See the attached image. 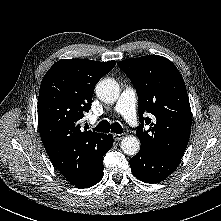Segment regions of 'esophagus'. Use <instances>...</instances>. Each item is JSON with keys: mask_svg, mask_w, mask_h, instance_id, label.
<instances>
[{"mask_svg": "<svg viewBox=\"0 0 221 221\" xmlns=\"http://www.w3.org/2000/svg\"><path fill=\"white\" fill-rule=\"evenodd\" d=\"M124 136H125L124 133H122V134H116V133H114V134H113V137H114V140H115V141H120L122 138H124Z\"/></svg>", "mask_w": 221, "mask_h": 221, "instance_id": "esophagus-1", "label": "esophagus"}]
</instances>
